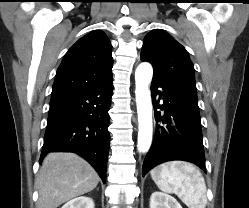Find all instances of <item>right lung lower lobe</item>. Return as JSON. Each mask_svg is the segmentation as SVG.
Wrapping results in <instances>:
<instances>
[{
	"mask_svg": "<svg viewBox=\"0 0 249 208\" xmlns=\"http://www.w3.org/2000/svg\"><path fill=\"white\" fill-rule=\"evenodd\" d=\"M112 78L82 91L52 97L40 162L49 152H73L86 159L105 183Z\"/></svg>",
	"mask_w": 249,
	"mask_h": 208,
	"instance_id": "98d812e1",
	"label": "right lung lower lobe"
}]
</instances>
